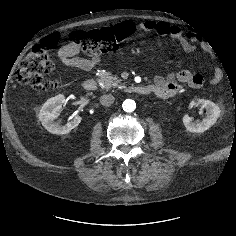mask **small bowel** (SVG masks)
<instances>
[{
  "label": "small bowel",
  "instance_id": "small-bowel-1",
  "mask_svg": "<svg viewBox=\"0 0 236 236\" xmlns=\"http://www.w3.org/2000/svg\"><path fill=\"white\" fill-rule=\"evenodd\" d=\"M134 28L147 32L155 33L159 36H169L177 42L181 51L186 55L192 56L196 53L198 38L195 33H185L179 26L172 25L163 21L147 20ZM80 48L73 44L62 45L58 49V56L66 66L76 68L81 71H91L102 61V55H92L88 58L80 57ZM222 80V72L216 70L210 82L212 85L218 84ZM181 84L190 86L193 89H200L204 84L201 74L189 70H182L177 73L167 75H157L151 85L152 92L160 98H170L177 95L182 87Z\"/></svg>",
  "mask_w": 236,
  "mask_h": 236
}]
</instances>
